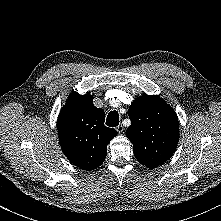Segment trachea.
<instances>
[{
  "label": "trachea",
  "mask_w": 221,
  "mask_h": 221,
  "mask_svg": "<svg viewBox=\"0 0 221 221\" xmlns=\"http://www.w3.org/2000/svg\"><path fill=\"white\" fill-rule=\"evenodd\" d=\"M119 124V114L117 111H111L106 119V125L109 127H116Z\"/></svg>",
  "instance_id": "1"
}]
</instances>
